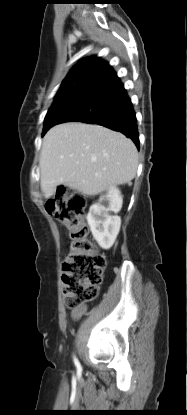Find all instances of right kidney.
Masks as SVG:
<instances>
[{
    "mask_svg": "<svg viewBox=\"0 0 187 415\" xmlns=\"http://www.w3.org/2000/svg\"><path fill=\"white\" fill-rule=\"evenodd\" d=\"M107 201V206L94 204L87 215V221L95 240L103 249H109L114 244L120 231L121 218L112 213H118L122 208L123 199L118 188L111 186L108 193L101 197Z\"/></svg>",
    "mask_w": 187,
    "mask_h": 415,
    "instance_id": "1",
    "label": "right kidney"
}]
</instances>
